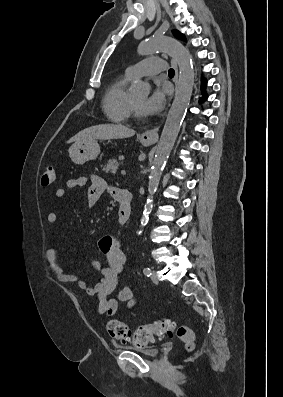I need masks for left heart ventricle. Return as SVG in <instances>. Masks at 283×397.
Returning a JSON list of instances; mask_svg holds the SVG:
<instances>
[{
  "label": "left heart ventricle",
  "instance_id": "b2bd125f",
  "mask_svg": "<svg viewBox=\"0 0 283 397\" xmlns=\"http://www.w3.org/2000/svg\"><path fill=\"white\" fill-rule=\"evenodd\" d=\"M132 100H133L135 106L137 107V109L139 110L140 105L145 100V97L144 96L134 97Z\"/></svg>",
  "mask_w": 283,
  "mask_h": 397
}]
</instances>
